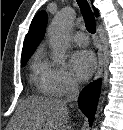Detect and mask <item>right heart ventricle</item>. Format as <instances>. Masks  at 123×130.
Masks as SVG:
<instances>
[{"mask_svg":"<svg viewBox=\"0 0 123 130\" xmlns=\"http://www.w3.org/2000/svg\"><path fill=\"white\" fill-rule=\"evenodd\" d=\"M32 78L38 90L45 95H53L47 75V61L42 52L35 54L32 61Z\"/></svg>","mask_w":123,"mask_h":130,"instance_id":"right-heart-ventricle-1","label":"right heart ventricle"}]
</instances>
